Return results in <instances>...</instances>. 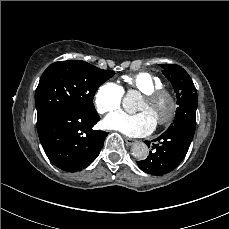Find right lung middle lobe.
Wrapping results in <instances>:
<instances>
[{"mask_svg": "<svg viewBox=\"0 0 229 229\" xmlns=\"http://www.w3.org/2000/svg\"><path fill=\"white\" fill-rule=\"evenodd\" d=\"M113 75L112 71L99 69L85 61L51 64L42 74L35 92L37 128L61 110L97 115L92 103L94 94Z\"/></svg>", "mask_w": 229, "mask_h": 229, "instance_id": "dd1d6c3e", "label": "right lung middle lobe"}]
</instances>
